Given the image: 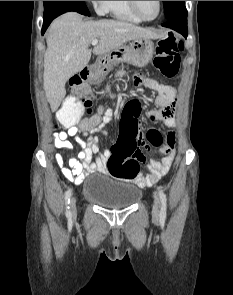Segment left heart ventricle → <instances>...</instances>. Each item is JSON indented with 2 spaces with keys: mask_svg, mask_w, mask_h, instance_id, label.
Returning a JSON list of instances; mask_svg holds the SVG:
<instances>
[{
  "mask_svg": "<svg viewBox=\"0 0 233 295\" xmlns=\"http://www.w3.org/2000/svg\"><path fill=\"white\" fill-rule=\"evenodd\" d=\"M140 14L145 18H153L158 9L157 1H136Z\"/></svg>",
  "mask_w": 233,
  "mask_h": 295,
  "instance_id": "obj_1",
  "label": "left heart ventricle"
}]
</instances>
